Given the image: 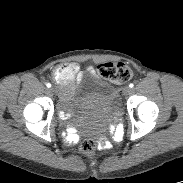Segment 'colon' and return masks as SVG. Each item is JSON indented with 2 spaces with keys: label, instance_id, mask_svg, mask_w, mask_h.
Wrapping results in <instances>:
<instances>
[{
  "label": "colon",
  "instance_id": "5ec220e1",
  "mask_svg": "<svg viewBox=\"0 0 183 183\" xmlns=\"http://www.w3.org/2000/svg\"><path fill=\"white\" fill-rule=\"evenodd\" d=\"M98 73L102 78L115 83H125L133 76L130 66L123 62L102 63L98 66ZM54 79L61 86L63 83L70 82L71 75L57 71ZM95 149L96 142L91 138L85 139L81 144V151L86 156H91L95 152Z\"/></svg>",
  "mask_w": 183,
  "mask_h": 183
}]
</instances>
